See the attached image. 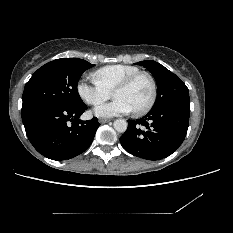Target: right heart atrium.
<instances>
[{
    "label": "right heart atrium",
    "instance_id": "obj_1",
    "mask_svg": "<svg viewBox=\"0 0 233 233\" xmlns=\"http://www.w3.org/2000/svg\"><path fill=\"white\" fill-rule=\"evenodd\" d=\"M77 93L84 102L92 106L100 105L111 97V92L96 81L91 84L80 81L77 85Z\"/></svg>",
    "mask_w": 233,
    "mask_h": 233
}]
</instances>
